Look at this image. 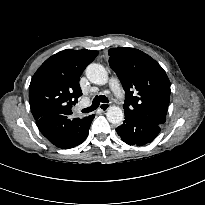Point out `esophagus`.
Returning a JSON list of instances; mask_svg holds the SVG:
<instances>
[{
    "mask_svg": "<svg viewBox=\"0 0 205 205\" xmlns=\"http://www.w3.org/2000/svg\"><path fill=\"white\" fill-rule=\"evenodd\" d=\"M99 109L101 110V111H107L108 109H109V104H107V103H101L100 105H99Z\"/></svg>",
    "mask_w": 205,
    "mask_h": 205,
    "instance_id": "1",
    "label": "esophagus"
}]
</instances>
